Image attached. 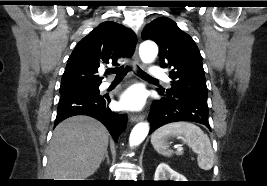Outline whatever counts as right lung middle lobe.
<instances>
[{
	"mask_svg": "<svg viewBox=\"0 0 267 186\" xmlns=\"http://www.w3.org/2000/svg\"><path fill=\"white\" fill-rule=\"evenodd\" d=\"M99 84H68L60 86V93L73 90V89H85L93 92H99Z\"/></svg>",
	"mask_w": 267,
	"mask_h": 186,
	"instance_id": "dd1d6c3e",
	"label": "right lung middle lobe"
}]
</instances>
